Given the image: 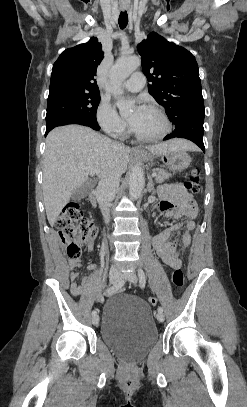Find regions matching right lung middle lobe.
Instances as JSON below:
<instances>
[{"mask_svg": "<svg viewBox=\"0 0 247 407\" xmlns=\"http://www.w3.org/2000/svg\"><path fill=\"white\" fill-rule=\"evenodd\" d=\"M99 92L60 90L49 93L46 124L63 117H75L97 122Z\"/></svg>", "mask_w": 247, "mask_h": 407, "instance_id": "1", "label": "right lung middle lobe"}]
</instances>
